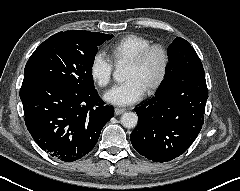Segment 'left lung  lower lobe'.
<instances>
[{"label":"left lung lower lobe","instance_id":"obj_1","mask_svg":"<svg viewBox=\"0 0 240 191\" xmlns=\"http://www.w3.org/2000/svg\"><path fill=\"white\" fill-rule=\"evenodd\" d=\"M157 89L135 109L138 125L130 139L134 149L154 162L183 154L199 134L208 98L204 69L192 66Z\"/></svg>","mask_w":240,"mask_h":191}]
</instances>
